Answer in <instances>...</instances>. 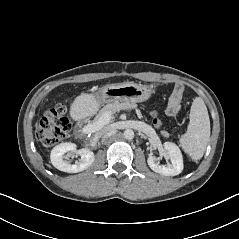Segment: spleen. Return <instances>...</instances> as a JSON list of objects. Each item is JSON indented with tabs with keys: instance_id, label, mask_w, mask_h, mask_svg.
I'll return each mask as SVG.
<instances>
[{
	"instance_id": "spleen-1",
	"label": "spleen",
	"mask_w": 239,
	"mask_h": 239,
	"mask_svg": "<svg viewBox=\"0 0 239 239\" xmlns=\"http://www.w3.org/2000/svg\"><path fill=\"white\" fill-rule=\"evenodd\" d=\"M210 138V119L201 97L193 100L187 132L180 138V146L193 160L202 158Z\"/></svg>"
}]
</instances>
